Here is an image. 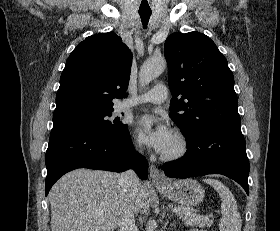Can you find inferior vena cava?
I'll return each instance as SVG.
<instances>
[{
	"mask_svg": "<svg viewBox=\"0 0 280 231\" xmlns=\"http://www.w3.org/2000/svg\"><path fill=\"white\" fill-rule=\"evenodd\" d=\"M118 183L122 189V195H126L131 185H137V183H139V179L136 173H134L132 169H129V171L121 173ZM118 231H138L135 225L134 213H132L130 209L123 211L122 215H120V219L118 221Z\"/></svg>",
	"mask_w": 280,
	"mask_h": 231,
	"instance_id": "1",
	"label": "inferior vena cava"
}]
</instances>
